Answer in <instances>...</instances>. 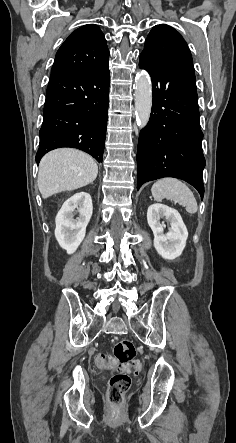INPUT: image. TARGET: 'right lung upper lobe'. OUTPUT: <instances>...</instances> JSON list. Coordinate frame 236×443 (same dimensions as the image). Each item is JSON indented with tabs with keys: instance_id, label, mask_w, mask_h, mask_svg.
Masks as SVG:
<instances>
[{
	"instance_id": "1",
	"label": "right lung upper lobe",
	"mask_w": 236,
	"mask_h": 443,
	"mask_svg": "<svg viewBox=\"0 0 236 443\" xmlns=\"http://www.w3.org/2000/svg\"><path fill=\"white\" fill-rule=\"evenodd\" d=\"M109 50L104 34L95 24L76 29L57 51L53 72H96L108 65Z\"/></svg>"
}]
</instances>
